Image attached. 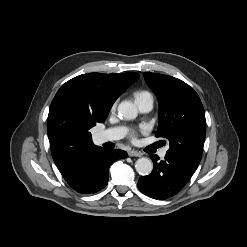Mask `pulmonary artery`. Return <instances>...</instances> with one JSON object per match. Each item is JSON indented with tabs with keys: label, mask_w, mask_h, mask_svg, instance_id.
<instances>
[{
	"label": "pulmonary artery",
	"mask_w": 247,
	"mask_h": 247,
	"mask_svg": "<svg viewBox=\"0 0 247 247\" xmlns=\"http://www.w3.org/2000/svg\"><path fill=\"white\" fill-rule=\"evenodd\" d=\"M137 108L141 113H148L153 108V101L151 99H143L136 102ZM126 129L124 127H114L100 132L97 136L99 142H109L121 139L126 134ZM167 149H162L160 151V156L165 157Z\"/></svg>",
	"instance_id": "e3ab8cb5"
}]
</instances>
